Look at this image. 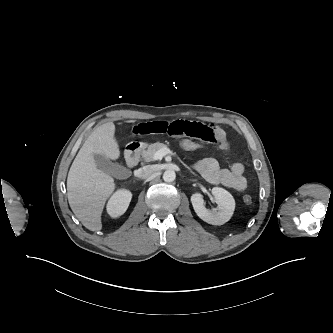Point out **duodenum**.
Returning <instances> with one entry per match:
<instances>
[{
	"mask_svg": "<svg viewBox=\"0 0 333 333\" xmlns=\"http://www.w3.org/2000/svg\"><path fill=\"white\" fill-rule=\"evenodd\" d=\"M140 145L138 143L130 144L125 151V161L127 166L134 167L138 162Z\"/></svg>",
	"mask_w": 333,
	"mask_h": 333,
	"instance_id": "duodenum-1",
	"label": "duodenum"
}]
</instances>
